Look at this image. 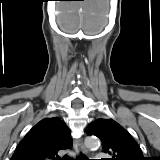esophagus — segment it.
I'll list each match as a JSON object with an SVG mask.
<instances>
[{
    "mask_svg": "<svg viewBox=\"0 0 160 160\" xmlns=\"http://www.w3.org/2000/svg\"><path fill=\"white\" fill-rule=\"evenodd\" d=\"M74 147H75V150L78 154H80V153L87 154V149L85 148L81 138L77 139L74 142Z\"/></svg>",
    "mask_w": 160,
    "mask_h": 160,
    "instance_id": "esophagus-1",
    "label": "esophagus"
}]
</instances>
